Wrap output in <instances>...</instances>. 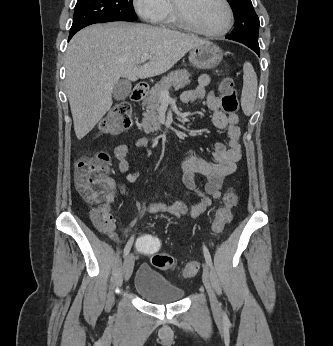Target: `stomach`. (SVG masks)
I'll use <instances>...</instances> for the list:
<instances>
[{"mask_svg":"<svg viewBox=\"0 0 333 346\" xmlns=\"http://www.w3.org/2000/svg\"><path fill=\"white\" fill-rule=\"evenodd\" d=\"M222 50L208 42L190 50L189 61L198 69H212L222 61Z\"/></svg>","mask_w":333,"mask_h":346,"instance_id":"1","label":"stomach"}]
</instances>
